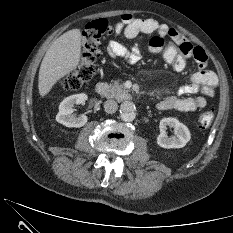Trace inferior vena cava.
Masks as SVG:
<instances>
[{
  "mask_svg": "<svg viewBox=\"0 0 233 233\" xmlns=\"http://www.w3.org/2000/svg\"><path fill=\"white\" fill-rule=\"evenodd\" d=\"M104 109L107 113H115L118 109V104L115 100H107L105 103H104Z\"/></svg>",
  "mask_w": 233,
  "mask_h": 233,
  "instance_id": "602c4592",
  "label": "inferior vena cava"
}]
</instances>
